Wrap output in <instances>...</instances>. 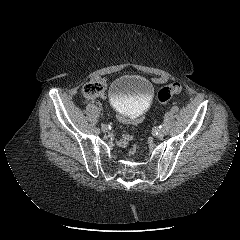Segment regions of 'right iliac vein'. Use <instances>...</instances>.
I'll return each instance as SVG.
<instances>
[{
  "mask_svg": "<svg viewBox=\"0 0 240 240\" xmlns=\"http://www.w3.org/2000/svg\"><path fill=\"white\" fill-rule=\"evenodd\" d=\"M102 131H103V132H108V127H107V125H102Z\"/></svg>",
  "mask_w": 240,
  "mask_h": 240,
  "instance_id": "right-iliac-vein-1",
  "label": "right iliac vein"
}]
</instances>
